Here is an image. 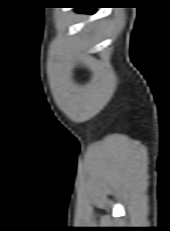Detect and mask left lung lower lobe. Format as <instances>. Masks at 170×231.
<instances>
[{"instance_id":"left-lung-lower-lobe-1","label":"left lung lower lobe","mask_w":170,"mask_h":231,"mask_svg":"<svg viewBox=\"0 0 170 231\" xmlns=\"http://www.w3.org/2000/svg\"><path fill=\"white\" fill-rule=\"evenodd\" d=\"M78 11L79 12H83V13H95V9L94 8H79Z\"/></svg>"}]
</instances>
